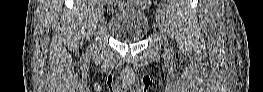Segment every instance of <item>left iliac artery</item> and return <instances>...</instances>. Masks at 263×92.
<instances>
[{
	"label": "left iliac artery",
	"instance_id": "1",
	"mask_svg": "<svg viewBox=\"0 0 263 92\" xmlns=\"http://www.w3.org/2000/svg\"><path fill=\"white\" fill-rule=\"evenodd\" d=\"M158 9L161 16H167V11L165 9L166 2L165 1H159L158 2Z\"/></svg>",
	"mask_w": 263,
	"mask_h": 92
}]
</instances>
